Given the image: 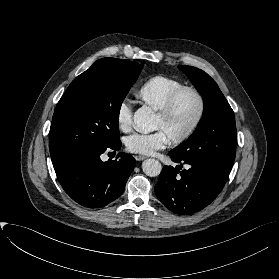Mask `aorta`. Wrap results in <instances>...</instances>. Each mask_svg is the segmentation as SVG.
Instances as JSON below:
<instances>
[{
    "label": "aorta",
    "instance_id": "aorta-1",
    "mask_svg": "<svg viewBox=\"0 0 279 279\" xmlns=\"http://www.w3.org/2000/svg\"><path fill=\"white\" fill-rule=\"evenodd\" d=\"M135 129L142 133H149L156 129V115L148 106L137 109L133 116ZM143 172L150 177L158 176L162 171L161 163L153 158L146 159L142 164Z\"/></svg>",
    "mask_w": 279,
    "mask_h": 279
}]
</instances>
